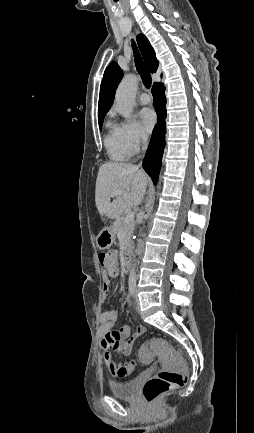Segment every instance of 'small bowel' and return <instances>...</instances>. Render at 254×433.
Listing matches in <instances>:
<instances>
[{
	"mask_svg": "<svg viewBox=\"0 0 254 433\" xmlns=\"http://www.w3.org/2000/svg\"><path fill=\"white\" fill-rule=\"evenodd\" d=\"M110 281L105 279L103 282V292L107 295L109 291ZM119 310H111L105 312L101 317L100 332L103 336L101 345L104 350V362L114 378H124L130 376L135 368V361L116 362L112 356V352H118L120 355L128 356L133 350L135 341L140 337L138 329L133 334L128 327H122L114 330V326L119 318Z\"/></svg>",
	"mask_w": 254,
	"mask_h": 433,
	"instance_id": "obj_1",
	"label": "small bowel"
}]
</instances>
